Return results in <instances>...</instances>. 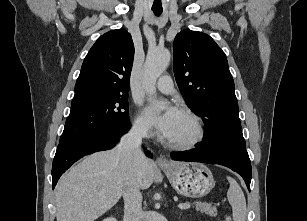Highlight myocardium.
<instances>
[{"label": "myocardium", "instance_id": "f54148a6", "mask_svg": "<svg viewBox=\"0 0 307 221\" xmlns=\"http://www.w3.org/2000/svg\"><path fill=\"white\" fill-rule=\"evenodd\" d=\"M182 114L191 119L194 124L195 132L189 139L174 142L169 140L168 145L177 150H189L197 146L205 136V128L202 119L193 111L186 109L182 111Z\"/></svg>", "mask_w": 307, "mask_h": 221}]
</instances>
